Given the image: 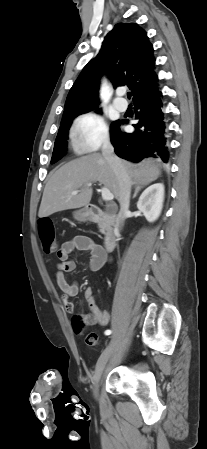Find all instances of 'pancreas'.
<instances>
[{"instance_id": "cf45deb5", "label": "pancreas", "mask_w": 207, "mask_h": 449, "mask_svg": "<svg viewBox=\"0 0 207 449\" xmlns=\"http://www.w3.org/2000/svg\"><path fill=\"white\" fill-rule=\"evenodd\" d=\"M98 226H99V231L102 234H106V231L109 230V224L105 221L99 222Z\"/></svg>"}]
</instances>
